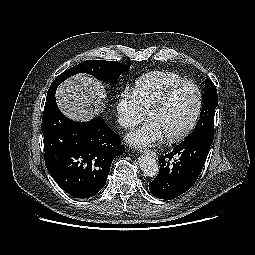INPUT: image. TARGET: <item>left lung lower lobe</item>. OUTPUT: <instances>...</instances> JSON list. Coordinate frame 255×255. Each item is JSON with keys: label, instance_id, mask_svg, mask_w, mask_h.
<instances>
[{"label": "left lung lower lobe", "instance_id": "obj_1", "mask_svg": "<svg viewBox=\"0 0 255 255\" xmlns=\"http://www.w3.org/2000/svg\"><path fill=\"white\" fill-rule=\"evenodd\" d=\"M213 138L214 133H200L160 157V171L149 183L150 192L160 199H174L190 189L203 169Z\"/></svg>", "mask_w": 255, "mask_h": 255}]
</instances>
